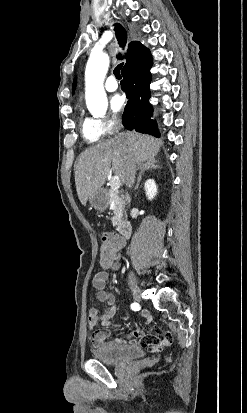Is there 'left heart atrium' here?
<instances>
[{"mask_svg":"<svg viewBox=\"0 0 247 413\" xmlns=\"http://www.w3.org/2000/svg\"><path fill=\"white\" fill-rule=\"evenodd\" d=\"M125 101L123 97L119 94H116L110 98V107L114 112H120L123 110Z\"/></svg>","mask_w":247,"mask_h":413,"instance_id":"39dd6f15","label":"left heart atrium"}]
</instances>
